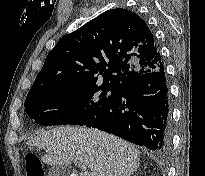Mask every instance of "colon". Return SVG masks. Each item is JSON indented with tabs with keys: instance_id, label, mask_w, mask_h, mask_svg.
Segmentation results:
<instances>
[{
	"instance_id": "1",
	"label": "colon",
	"mask_w": 205,
	"mask_h": 176,
	"mask_svg": "<svg viewBox=\"0 0 205 176\" xmlns=\"http://www.w3.org/2000/svg\"><path fill=\"white\" fill-rule=\"evenodd\" d=\"M24 163L27 176H45L43 164L35 153H26L24 155Z\"/></svg>"
}]
</instances>
